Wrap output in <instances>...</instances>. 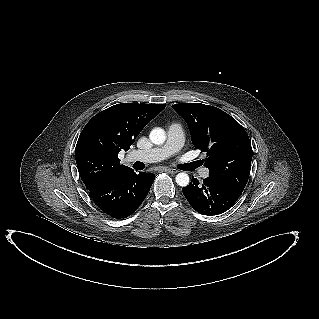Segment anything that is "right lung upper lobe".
I'll list each match as a JSON object with an SVG mask.
<instances>
[{"instance_id":"obj_1","label":"right lung upper lobe","mask_w":319,"mask_h":319,"mask_svg":"<svg viewBox=\"0 0 319 319\" xmlns=\"http://www.w3.org/2000/svg\"><path fill=\"white\" fill-rule=\"evenodd\" d=\"M165 104L123 103L95 115L82 130L75 149L79 174L88 190L129 167L118 153L127 151L144 126Z\"/></svg>"}]
</instances>
